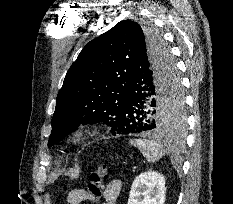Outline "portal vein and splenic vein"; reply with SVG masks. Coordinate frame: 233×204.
Returning a JSON list of instances; mask_svg holds the SVG:
<instances>
[{"label": "portal vein and splenic vein", "mask_w": 233, "mask_h": 204, "mask_svg": "<svg viewBox=\"0 0 233 204\" xmlns=\"http://www.w3.org/2000/svg\"><path fill=\"white\" fill-rule=\"evenodd\" d=\"M136 167H133V171H135Z\"/></svg>", "instance_id": "obj_1"}]
</instances>
